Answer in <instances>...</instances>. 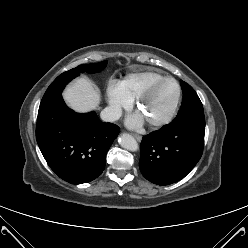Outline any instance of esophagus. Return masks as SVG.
<instances>
[{
  "mask_svg": "<svg viewBox=\"0 0 248 248\" xmlns=\"http://www.w3.org/2000/svg\"><path fill=\"white\" fill-rule=\"evenodd\" d=\"M132 135H133V137L136 138L138 141H140L141 138H142L140 135L135 134V133H132Z\"/></svg>",
  "mask_w": 248,
  "mask_h": 248,
  "instance_id": "obj_1",
  "label": "esophagus"
}]
</instances>
